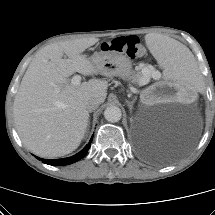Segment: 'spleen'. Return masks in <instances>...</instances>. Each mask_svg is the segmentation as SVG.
Here are the masks:
<instances>
[{
  "instance_id": "spleen-1",
  "label": "spleen",
  "mask_w": 215,
  "mask_h": 215,
  "mask_svg": "<svg viewBox=\"0 0 215 215\" xmlns=\"http://www.w3.org/2000/svg\"><path fill=\"white\" fill-rule=\"evenodd\" d=\"M146 43L160 65L165 67V76L174 83L185 84L192 94L203 88L198 73V64L188 50L175 40L161 37H146Z\"/></svg>"
}]
</instances>
